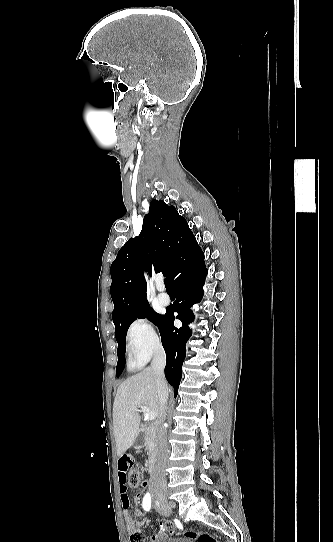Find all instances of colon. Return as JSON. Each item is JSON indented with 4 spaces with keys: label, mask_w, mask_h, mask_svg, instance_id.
Wrapping results in <instances>:
<instances>
[{
    "label": "colon",
    "mask_w": 333,
    "mask_h": 542,
    "mask_svg": "<svg viewBox=\"0 0 333 542\" xmlns=\"http://www.w3.org/2000/svg\"><path fill=\"white\" fill-rule=\"evenodd\" d=\"M132 456V455H131ZM131 477H128V483L131 487L138 488L142 487L146 482V478L140 472V470L133 464L131 466ZM167 526L165 524L160 525L161 531H166ZM184 536L187 540L196 541V542H220L214 535L208 532L199 533L196 530H188L184 533ZM130 542H148V536L144 531H133L131 535Z\"/></svg>",
    "instance_id": "1"
}]
</instances>
